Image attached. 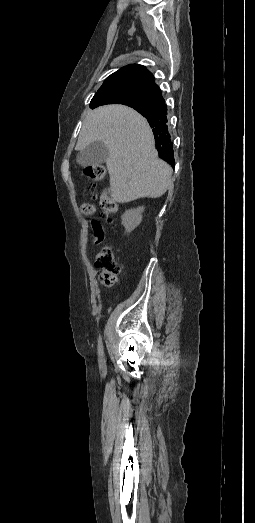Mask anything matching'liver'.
<instances>
[{
    "label": "liver",
    "instance_id": "1",
    "mask_svg": "<svg viewBox=\"0 0 255 523\" xmlns=\"http://www.w3.org/2000/svg\"><path fill=\"white\" fill-rule=\"evenodd\" d=\"M104 142L111 198L125 204L137 198H160L171 182L172 168L159 160L153 132L138 112L127 106H101L87 114L75 150Z\"/></svg>",
    "mask_w": 255,
    "mask_h": 523
}]
</instances>
